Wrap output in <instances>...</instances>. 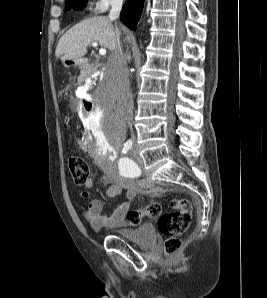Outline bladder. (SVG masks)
I'll use <instances>...</instances> for the list:
<instances>
[{"instance_id": "obj_1", "label": "bladder", "mask_w": 267, "mask_h": 298, "mask_svg": "<svg viewBox=\"0 0 267 298\" xmlns=\"http://www.w3.org/2000/svg\"><path fill=\"white\" fill-rule=\"evenodd\" d=\"M117 235L141 247L152 245L156 239L154 228L150 224H145L135 229H123L118 231Z\"/></svg>"}]
</instances>
